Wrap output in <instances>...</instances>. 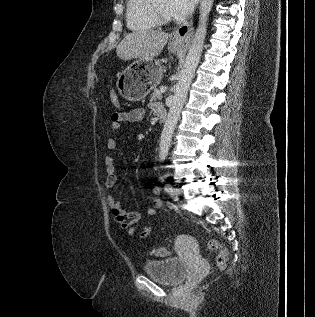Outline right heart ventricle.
<instances>
[{
	"label": "right heart ventricle",
	"instance_id": "1",
	"mask_svg": "<svg viewBox=\"0 0 315 317\" xmlns=\"http://www.w3.org/2000/svg\"><path fill=\"white\" fill-rule=\"evenodd\" d=\"M126 23L132 31L154 29L157 22L151 12V0H126Z\"/></svg>",
	"mask_w": 315,
	"mask_h": 317
}]
</instances>
